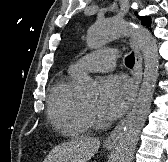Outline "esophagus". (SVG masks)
I'll use <instances>...</instances> for the list:
<instances>
[{"instance_id":"esophagus-1","label":"esophagus","mask_w":168,"mask_h":162,"mask_svg":"<svg viewBox=\"0 0 168 162\" xmlns=\"http://www.w3.org/2000/svg\"><path fill=\"white\" fill-rule=\"evenodd\" d=\"M129 41H130V46L132 47L135 53V67L133 71V77H134V83H135V92L137 94L141 83V79H142V55L137 42L133 38H130ZM126 120H127V116L117 124L114 130L106 137L104 141L105 144L115 145L118 142L120 136L122 135Z\"/></svg>"}]
</instances>
